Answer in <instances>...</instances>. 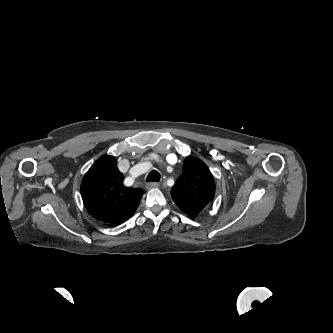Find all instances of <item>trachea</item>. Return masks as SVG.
Listing matches in <instances>:
<instances>
[{
	"instance_id": "trachea-1",
	"label": "trachea",
	"mask_w": 333,
	"mask_h": 333,
	"mask_svg": "<svg viewBox=\"0 0 333 333\" xmlns=\"http://www.w3.org/2000/svg\"><path fill=\"white\" fill-rule=\"evenodd\" d=\"M159 180H160V174L156 170H152L146 178L147 182H159Z\"/></svg>"
}]
</instances>
